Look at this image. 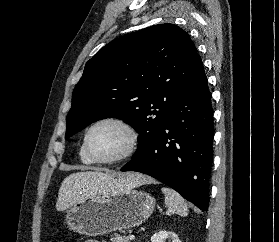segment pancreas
Instances as JSON below:
<instances>
[{
    "label": "pancreas",
    "mask_w": 279,
    "mask_h": 242,
    "mask_svg": "<svg viewBox=\"0 0 279 242\" xmlns=\"http://www.w3.org/2000/svg\"><path fill=\"white\" fill-rule=\"evenodd\" d=\"M110 239H111L112 242H129L127 236L119 235L117 233L112 235Z\"/></svg>",
    "instance_id": "pancreas-1"
}]
</instances>
